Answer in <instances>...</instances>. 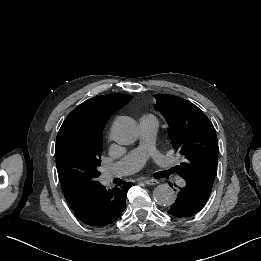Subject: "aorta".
Returning a JSON list of instances; mask_svg holds the SVG:
<instances>
[{
  "label": "aorta",
  "instance_id": "obj_1",
  "mask_svg": "<svg viewBox=\"0 0 261 261\" xmlns=\"http://www.w3.org/2000/svg\"><path fill=\"white\" fill-rule=\"evenodd\" d=\"M112 136L120 145H130L137 140L138 131L135 121L126 116L118 118L112 126ZM154 200L161 206H170L176 200V193L168 184H160L153 191Z\"/></svg>",
  "mask_w": 261,
  "mask_h": 261
}]
</instances>
